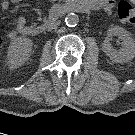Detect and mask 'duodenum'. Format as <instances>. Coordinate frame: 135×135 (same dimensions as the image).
<instances>
[{
  "instance_id": "duodenum-1",
  "label": "duodenum",
  "mask_w": 135,
  "mask_h": 135,
  "mask_svg": "<svg viewBox=\"0 0 135 135\" xmlns=\"http://www.w3.org/2000/svg\"><path fill=\"white\" fill-rule=\"evenodd\" d=\"M64 9L67 12L79 11L81 13H87L90 10V7L82 0H67L64 3ZM43 31H44V27L39 25L37 27L28 28L25 33L28 35H40L43 33Z\"/></svg>"
}]
</instances>
